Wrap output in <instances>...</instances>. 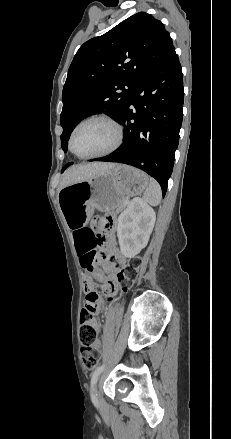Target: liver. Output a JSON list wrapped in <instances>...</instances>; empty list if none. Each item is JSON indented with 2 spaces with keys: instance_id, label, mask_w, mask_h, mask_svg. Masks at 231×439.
<instances>
[{
  "instance_id": "obj_1",
  "label": "liver",
  "mask_w": 231,
  "mask_h": 439,
  "mask_svg": "<svg viewBox=\"0 0 231 439\" xmlns=\"http://www.w3.org/2000/svg\"><path fill=\"white\" fill-rule=\"evenodd\" d=\"M115 165V163L102 162L75 165L64 173L58 190L60 191L73 183L87 180L99 173L113 168Z\"/></svg>"
}]
</instances>
